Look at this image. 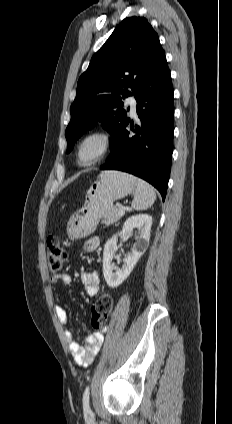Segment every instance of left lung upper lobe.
Wrapping results in <instances>:
<instances>
[{
  "mask_svg": "<svg viewBox=\"0 0 232 424\" xmlns=\"http://www.w3.org/2000/svg\"><path fill=\"white\" fill-rule=\"evenodd\" d=\"M163 58L159 37L147 19L125 18L78 80L65 132L67 152L98 121L112 135L111 145L127 119L121 99L134 95Z\"/></svg>",
  "mask_w": 232,
  "mask_h": 424,
  "instance_id": "left-lung-upper-lobe-1",
  "label": "left lung upper lobe"
}]
</instances>
